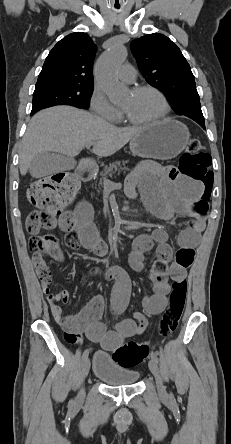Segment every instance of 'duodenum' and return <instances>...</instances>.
I'll return each instance as SVG.
<instances>
[{
	"mask_svg": "<svg viewBox=\"0 0 231 444\" xmlns=\"http://www.w3.org/2000/svg\"><path fill=\"white\" fill-rule=\"evenodd\" d=\"M93 174V168L90 165H82L77 171V175L83 179H89ZM111 278L114 277L113 273H110Z\"/></svg>",
	"mask_w": 231,
	"mask_h": 444,
	"instance_id": "duodenum-1",
	"label": "duodenum"
}]
</instances>
